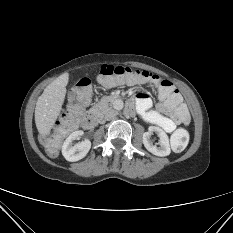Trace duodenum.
I'll return each instance as SVG.
<instances>
[{
  "mask_svg": "<svg viewBox=\"0 0 233 233\" xmlns=\"http://www.w3.org/2000/svg\"><path fill=\"white\" fill-rule=\"evenodd\" d=\"M126 110L129 113H132L134 110L133 103L130 100H127ZM99 118H100V115L98 112H95V111L89 112L83 119V127L85 129L94 128L97 125Z\"/></svg>",
  "mask_w": 233,
  "mask_h": 233,
  "instance_id": "410a0bca",
  "label": "duodenum"
}]
</instances>
